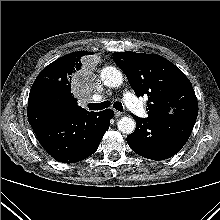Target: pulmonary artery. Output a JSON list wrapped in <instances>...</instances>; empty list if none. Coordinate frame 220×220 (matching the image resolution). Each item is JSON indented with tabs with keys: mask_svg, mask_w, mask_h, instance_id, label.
<instances>
[{
	"mask_svg": "<svg viewBox=\"0 0 220 220\" xmlns=\"http://www.w3.org/2000/svg\"><path fill=\"white\" fill-rule=\"evenodd\" d=\"M123 98H124L125 104L128 106L130 110H132L136 115L140 117H145L146 113H145L143 106L132 93L130 92L124 93Z\"/></svg>",
	"mask_w": 220,
	"mask_h": 220,
	"instance_id": "1",
	"label": "pulmonary artery"
}]
</instances>
